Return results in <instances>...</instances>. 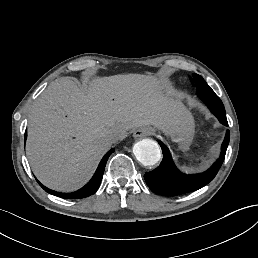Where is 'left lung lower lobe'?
<instances>
[{"label":"left lung lower lobe","mask_w":258,"mask_h":258,"mask_svg":"<svg viewBox=\"0 0 258 258\" xmlns=\"http://www.w3.org/2000/svg\"><path fill=\"white\" fill-rule=\"evenodd\" d=\"M195 85L199 98L218 118L220 123L228 126L225 108L220 98L206 82H197ZM229 139L230 132L227 130L219 159L207 171L192 175L184 174L176 168L168 148L159 141L163 151V160L156 169L145 173L144 178L148 187L153 192L164 196H177L204 187L213 180L220 169L225 158Z\"/></svg>","instance_id":"1"}]
</instances>
